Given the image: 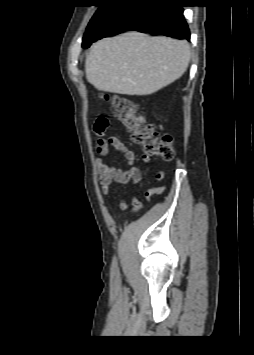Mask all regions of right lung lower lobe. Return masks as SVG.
<instances>
[{"mask_svg": "<svg viewBox=\"0 0 254 355\" xmlns=\"http://www.w3.org/2000/svg\"><path fill=\"white\" fill-rule=\"evenodd\" d=\"M179 0H136L119 4L91 42L125 31H139L190 40V33Z\"/></svg>", "mask_w": 254, "mask_h": 355, "instance_id": "obj_1", "label": "right lung lower lobe"}]
</instances>
